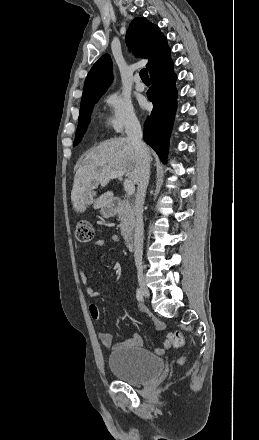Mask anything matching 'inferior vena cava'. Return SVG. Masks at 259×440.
Instances as JSON below:
<instances>
[{"mask_svg":"<svg viewBox=\"0 0 259 440\" xmlns=\"http://www.w3.org/2000/svg\"><path fill=\"white\" fill-rule=\"evenodd\" d=\"M126 134L131 141L139 157V174L137 183V194L135 199V230H134V259L138 271L142 270L143 255V205L146 189L149 183L150 162L148 158V149L142 141V129L137 119H132L126 126Z\"/></svg>","mask_w":259,"mask_h":440,"instance_id":"obj_1","label":"inferior vena cava"}]
</instances>
